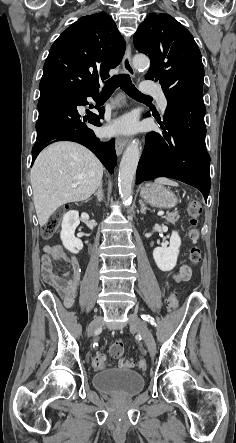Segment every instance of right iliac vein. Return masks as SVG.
Segmentation results:
<instances>
[{
  "instance_id": "1",
  "label": "right iliac vein",
  "mask_w": 236,
  "mask_h": 443,
  "mask_svg": "<svg viewBox=\"0 0 236 443\" xmlns=\"http://www.w3.org/2000/svg\"><path fill=\"white\" fill-rule=\"evenodd\" d=\"M101 322H102V316L94 318L88 326L87 329L88 335H91Z\"/></svg>"
}]
</instances>
